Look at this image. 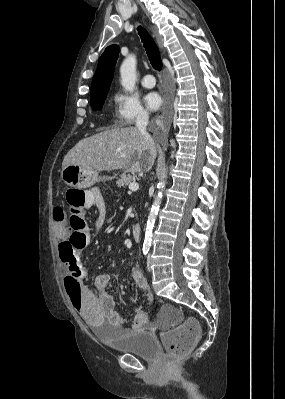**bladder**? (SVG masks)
<instances>
[{"label": "bladder", "instance_id": "obj_1", "mask_svg": "<svg viewBox=\"0 0 285 399\" xmlns=\"http://www.w3.org/2000/svg\"><path fill=\"white\" fill-rule=\"evenodd\" d=\"M92 330L98 335H104L101 323H90ZM105 342L116 350L132 354L142 359L154 360L159 355V343L156 337L146 331L132 330L130 334L122 337H110Z\"/></svg>", "mask_w": 285, "mask_h": 399}]
</instances>
